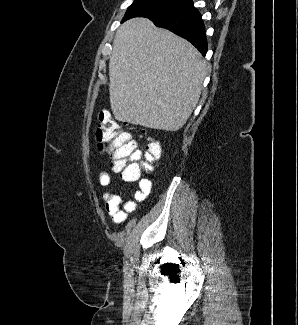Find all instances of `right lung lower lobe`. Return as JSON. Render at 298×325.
Masks as SVG:
<instances>
[{
    "label": "right lung lower lobe",
    "mask_w": 298,
    "mask_h": 325,
    "mask_svg": "<svg viewBox=\"0 0 298 325\" xmlns=\"http://www.w3.org/2000/svg\"><path fill=\"white\" fill-rule=\"evenodd\" d=\"M158 27L166 28L187 39L204 56L207 52V38L201 14L193 3L175 12L149 18Z\"/></svg>",
    "instance_id": "98d812e1"
}]
</instances>
